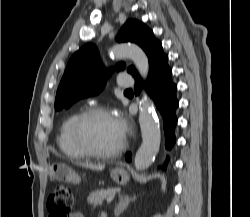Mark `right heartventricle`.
I'll use <instances>...</instances> for the list:
<instances>
[{
    "label": "right heart ventricle",
    "instance_id": "1",
    "mask_svg": "<svg viewBox=\"0 0 250 217\" xmlns=\"http://www.w3.org/2000/svg\"><path fill=\"white\" fill-rule=\"evenodd\" d=\"M79 114V111H75L63 120L57 137L60 151L71 159H83L87 157V155L77 146L73 138V124Z\"/></svg>",
    "mask_w": 250,
    "mask_h": 217
}]
</instances>
